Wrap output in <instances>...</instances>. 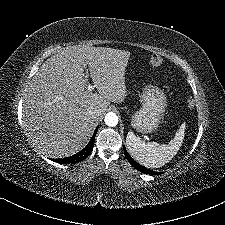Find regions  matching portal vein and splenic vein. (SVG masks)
Instances as JSON below:
<instances>
[{
  "label": "portal vein and splenic vein",
  "instance_id": "1",
  "mask_svg": "<svg viewBox=\"0 0 225 225\" xmlns=\"http://www.w3.org/2000/svg\"><path fill=\"white\" fill-rule=\"evenodd\" d=\"M95 88V85H88L87 90L92 91Z\"/></svg>",
  "mask_w": 225,
  "mask_h": 225
}]
</instances>
